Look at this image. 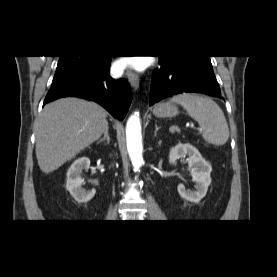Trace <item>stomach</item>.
I'll use <instances>...</instances> for the list:
<instances>
[{"instance_id": "1", "label": "stomach", "mask_w": 277, "mask_h": 277, "mask_svg": "<svg viewBox=\"0 0 277 277\" xmlns=\"http://www.w3.org/2000/svg\"><path fill=\"white\" fill-rule=\"evenodd\" d=\"M153 114L157 117H174L179 114V110L175 104L166 102L155 106Z\"/></svg>"}]
</instances>
